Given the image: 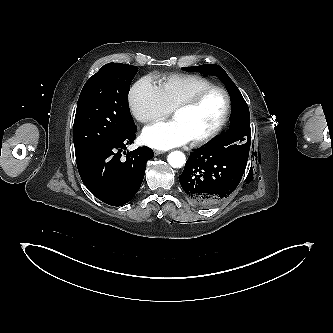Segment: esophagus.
<instances>
[{"label":"esophagus","instance_id":"1","mask_svg":"<svg viewBox=\"0 0 333 333\" xmlns=\"http://www.w3.org/2000/svg\"><path fill=\"white\" fill-rule=\"evenodd\" d=\"M164 152L163 151H160V150H154V155L155 156H158L160 154H163Z\"/></svg>","mask_w":333,"mask_h":333}]
</instances>
